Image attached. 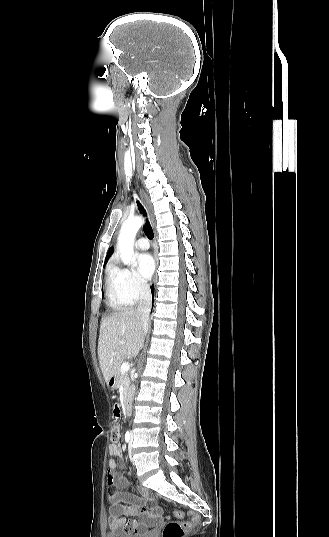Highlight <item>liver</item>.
<instances>
[{
    "instance_id": "1",
    "label": "liver",
    "mask_w": 329,
    "mask_h": 537,
    "mask_svg": "<svg viewBox=\"0 0 329 537\" xmlns=\"http://www.w3.org/2000/svg\"><path fill=\"white\" fill-rule=\"evenodd\" d=\"M142 334L141 316L135 309L119 311L102 320L98 358L106 383L116 376L125 358L137 356L143 342Z\"/></svg>"
}]
</instances>
